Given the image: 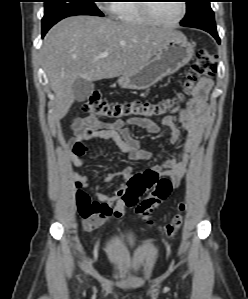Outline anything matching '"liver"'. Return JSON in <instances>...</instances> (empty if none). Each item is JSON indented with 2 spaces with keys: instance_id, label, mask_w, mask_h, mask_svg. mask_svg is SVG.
Wrapping results in <instances>:
<instances>
[{
  "instance_id": "liver-1",
  "label": "liver",
  "mask_w": 248,
  "mask_h": 299,
  "mask_svg": "<svg viewBox=\"0 0 248 299\" xmlns=\"http://www.w3.org/2000/svg\"><path fill=\"white\" fill-rule=\"evenodd\" d=\"M184 35L171 28L147 27L97 16H72L53 26L41 49L44 70L55 94L53 118L61 120L74 103L76 78H114L144 67L165 44ZM107 51L109 56L100 58Z\"/></svg>"
}]
</instances>
